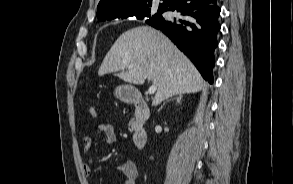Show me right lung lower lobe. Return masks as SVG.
Wrapping results in <instances>:
<instances>
[{
    "label": "right lung lower lobe",
    "mask_w": 293,
    "mask_h": 184,
    "mask_svg": "<svg viewBox=\"0 0 293 184\" xmlns=\"http://www.w3.org/2000/svg\"><path fill=\"white\" fill-rule=\"evenodd\" d=\"M164 11H176L180 19L146 21L160 29L183 51L210 84L213 83L214 50L220 8L217 0H170Z\"/></svg>",
    "instance_id": "1"
}]
</instances>
